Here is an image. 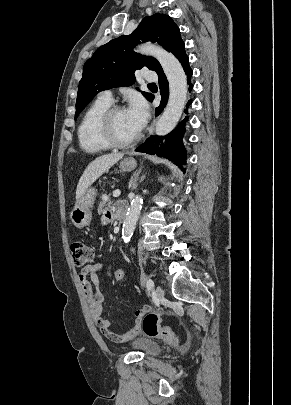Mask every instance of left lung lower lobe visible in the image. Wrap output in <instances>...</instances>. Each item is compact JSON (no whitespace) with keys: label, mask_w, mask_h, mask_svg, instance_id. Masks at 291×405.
<instances>
[{"label":"left lung lower lobe","mask_w":291,"mask_h":405,"mask_svg":"<svg viewBox=\"0 0 291 405\" xmlns=\"http://www.w3.org/2000/svg\"><path fill=\"white\" fill-rule=\"evenodd\" d=\"M172 53L175 57L180 61L184 71L187 75V82L189 87V91L192 90L193 86L190 82V78L192 76V70L189 66V58L185 53L184 49V42L181 40L177 43V45L172 50ZM159 76V86H160V94L162 96L160 106L156 108V116L159 115L164 107L167 104L168 96H169V88H168V81L163 72V69L159 67L155 70ZM153 100V96H151L149 101ZM192 103V100H189L186 107ZM188 112V109H185V113ZM188 117L186 116L183 119L176 129L165 136H151L142 146L136 149L137 152H144L147 154H156L157 156L164 157L169 159L170 161L174 162L178 167L181 168L183 172L185 169L182 168V165L186 164V150L182 144V138L185 133L184 124L187 121Z\"/></svg>","instance_id":"1"}]
</instances>
